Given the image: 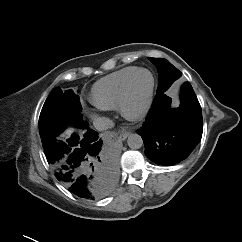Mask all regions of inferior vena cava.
<instances>
[{
    "instance_id": "1",
    "label": "inferior vena cava",
    "mask_w": 242,
    "mask_h": 242,
    "mask_svg": "<svg viewBox=\"0 0 242 242\" xmlns=\"http://www.w3.org/2000/svg\"><path fill=\"white\" fill-rule=\"evenodd\" d=\"M93 125L96 130L104 131V130L113 128L114 122L107 117H98V118L94 119Z\"/></svg>"
}]
</instances>
